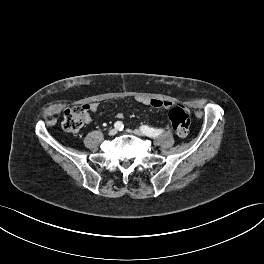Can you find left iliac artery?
I'll list each match as a JSON object with an SVG mask.
<instances>
[{
  "instance_id": "obj_1",
  "label": "left iliac artery",
  "mask_w": 264,
  "mask_h": 264,
  "mask_svg": "<svg viewBox=\"0 0 264 264\" xmlns=\"http://www.w3.org/2000/svg\"><path fill=\"white\" fill-rule=\"evenodd\" d=\"M141 130L143 133H145L146 131H150L151 133H156L157 135H160L163 132V129H154V128H150L146 125L142 126Z\"/></svg>"
}]
</instances>
